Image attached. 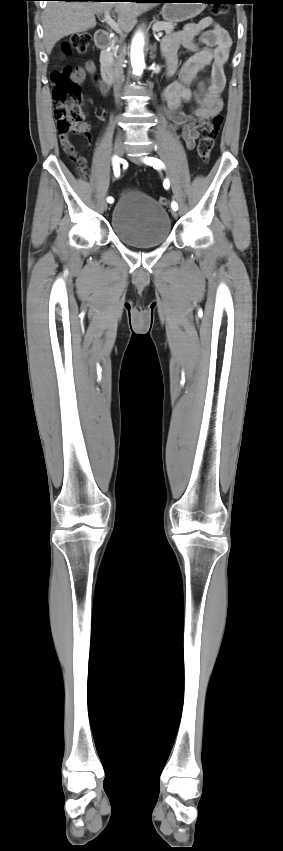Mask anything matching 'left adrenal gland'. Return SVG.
I'll use <instances>...</instances> for the list:
<instances>
[{"label": "left adrenal gland", "instance_id": "1", "mask_svg": "<svg viewBox=\"0 0 283 851\" xmlns=\"http://www.w3.org/2000/svg\"><path fill=\"white\" fill-rule=\"evenodd\" d=\"M153 50H154V51H155V50H156V45H154V48H153Z\"/></svg>", "mask_w": 283, "mask_h": 851}]
</instances>
